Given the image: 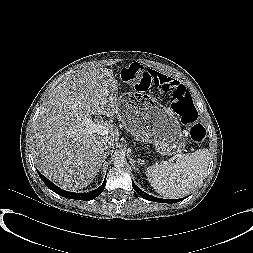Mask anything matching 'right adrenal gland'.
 I'll return each mask as SVG.
<instances>
[{"instance_id": "right-adrenal-gland-1", "label": "right adrenal gland", "mask_w": 253, "mask_h": 253, "mask_svg": "<svg viewBox=\"0 0 253 253\" xmlns=\"http://www.w3.org/2000/svg\"><path fill=\"white\" fill-rule=\"evenodd\" d=\"M110 152L111 151H107V152L104 153L103 159L101 160V162L99 164V170L101 169L103 162L107 159V156L110 154ZM99 170H98V172H99Z\"/></svg>"}]
</instances>
